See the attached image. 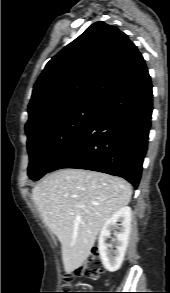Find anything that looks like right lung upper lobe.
<instances>
[{"mask_svg": "<svg viewBox=\"0 0 170 293\" xmlns=\"http://www.w3.org/2000/svg\"><path fill=\"white\" fill-rule=\"evenodd\" d=\"M147 73L127 35L96 22L47 63L34 85L25 130L77 105H100Z\"/></svg>", "mask_w": 170, "mask_h": 293, "instance_id": "1", "label": "right lung upper lobe"}]
</instances>
